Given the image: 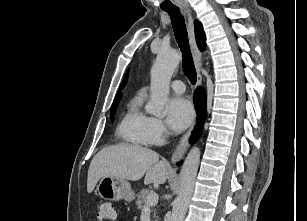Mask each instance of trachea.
Instances as JSON below:
<instances>
[{"label": "trachea", "instance_id": "3493384b", "mask_svg": "<svg viewBox=\"0 0 307 221\" xmlns=\"http://www.w3.org/2000/svg\"><path fill=\"white\" fill-rule=\"evenodd\" d=\"M171 17L172 26L178 46L183 57V71L191 84L195 85L197 80L196 70L188 42V34L183 16L178 8L165 10Z\"/></svg>", "mask_w": 307, "mask_h": 221}]
</instances>
